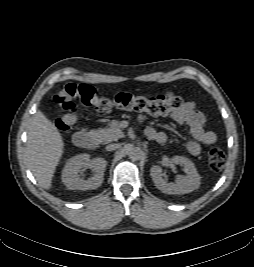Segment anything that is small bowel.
Returning <instances> with one entry per match:
<instances>
[{
	"label": "small bowel",
	"instance_id": "obj_1",
	"mask_svg": "<svg viewBox=\"0 0 254 267\" xmlns=\"http://www.w3.org/2000/svg\"><path fill=\"white\" fill-rule=\"evenodd\" d=\"M171 117L178 124H184L189 128L191 139L187 141L186 149L191 155H199L202 145H212L215 143V133L206 130L205 116L197 109L194 102L188 101L183 103L179 109L171 114ZM146 135L148 138L162 144L168 140L166 133L158 131L153 127L146 129Z\"/></svg>",
	"mask_w": 254,
	"mask_h": 267
}]
</instances>
